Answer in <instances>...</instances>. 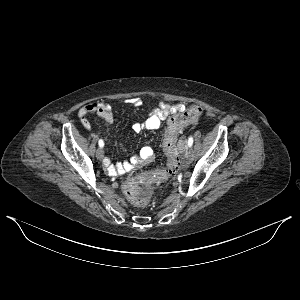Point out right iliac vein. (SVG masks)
Returning a JSON list of instances; mask_svg holds the SVG:
<instances>
[{
    "mask_svg": "<svg viewBox=\"0 0 300 300\" xmlns=\"http://www.w3.org/2000/svg\"><path fill=\"white\" fill-rule=\"evenodd\" d=\"M96 157L97 159L101 160L104 157V151L102 148H98L96 151Z\"/></svg>",
    "mask_w": 300,
    "mask_h": 300,
    "instance_id": "1",
    "label": "right iliac vein"
}]
</instances>
